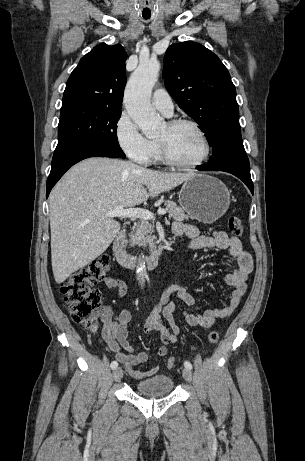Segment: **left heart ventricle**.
<instances>
[{
    "label": "left heart ventricle",
    "instance_id": "left-heart-ventricle-1",
    "mask_svg": "<svg viewBox=\"0 0 305 461\" xmlns=\"http://www.w3.org/2000/svg\"><path fill=\"white\" fill-rule=\"evenodd\" d=\"M158 140L166 143L172 156L181 162H194L198 160L204 152V145L201 137L197 131L189 125L171 128L166 124Z\"/></svg>",
    "mask_w": 305,
    "mask_h": 461
}]
</instances>
